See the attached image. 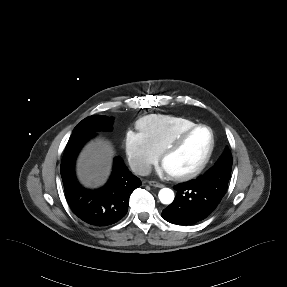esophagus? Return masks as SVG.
Segmentation results:
<instances>
[{
	"mask_svg": "<svg viewBox=\"0 0 287 287\" xmlns=\"http://www.w3.org/2000/svg\"><path fill=\"white\" fill-rule=\"evenodd\" d=\"M148 183H149V185L154 186V187H157V188H162V187H164L163 184H161V183H159V182H157V181H149Z\"/></svg>",
	"mask_w": 287,
	"mask_h": 287,
	"instance_id": "esophagus-1",
	"label": "esophagus"
}]
</instances>
